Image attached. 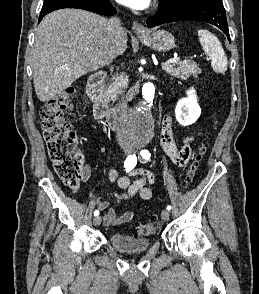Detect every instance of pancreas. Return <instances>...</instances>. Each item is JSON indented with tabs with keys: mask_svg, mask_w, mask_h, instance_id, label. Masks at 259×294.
Here are the masks:
<instances>
[{
	"mask_svg": "<svg viewBox=\"0 0 259 294\" xmlns=\"http://www.w3.org/2000/svg\"><path fill=\"white\" fill-rule=\"evenodd\" d=\"M163 70L173 77L181 80H186L190 77L197 78L198 74L201 73L199 65L191 60H184L177 62L176 64L163 65ZM128 78L126 75H121L115 80L108 88V94L112 100L115 99L116 94L119 91L120 86H126Z\"/></svg>",
	"mask_w": 259,
	"mask_h": 294,
	"instance_id": "1",
	"label": "pancreas"
}]
</instances>
